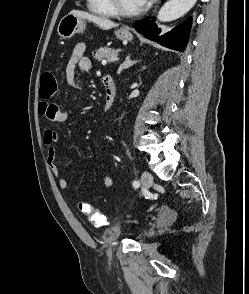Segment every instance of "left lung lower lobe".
Listing matches in <instances>:
<instances>
[{"label":"left lung lower lobe","mask_w":249,"mask_h":294,"mask_svg":"<svg viewBox=\"0 0 249 294\" xmlns=\"http://www.w3.org/2000/svg\"><path fill=\"white\" fill-rule=\"evenodd\" d=\"M191 23L192 18H188L186 21L177 25L172 30L161 34V29H158L153 22L147 21V19H145L137 22L135 24V29L137 32L143 34L148 39L157 41L158 43L168 48L177 51H183L188 42Z\"/></svg>","instance_id":"0a47b994"}]
</instances>
